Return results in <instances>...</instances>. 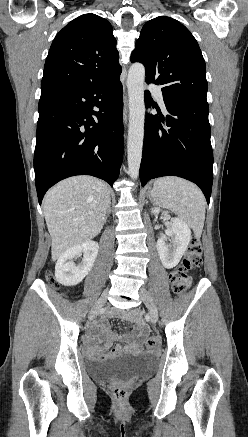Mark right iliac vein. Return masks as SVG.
I'll return each instance as SVG.
<instances>
[{"label": "right iliac vein", "mask_w": 248, "mask_h": 437, "mask_svg": "<svg viewBox=\"0 0 248 437\" xmlns=\"http://www.w3.org/2000/svg\"><path fill=\"white\" fill-rule=\"evenodd\" d=\"M107 292H104L101 298L98 300L96 306L91 311V316L95 317L102 306L106 303Z\"/></svg>", "instance_id": "1"}]
</instances>
